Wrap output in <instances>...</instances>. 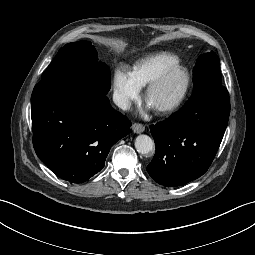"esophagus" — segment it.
<instances>
[{"label":"esophagus","mask_w":255,"mask_h":255,"mask_svg":"<svg viewBox=\"0 0 255 255\" xmlns=\"http://www.w3.org/2000/svg\"><path fill=\"white\" fill-rule=\"evenodd\" d=\"M132 130L134 133H142L145 130V126L140 123L132 124Z\"/></svg>","instance_id":"34e87169"}]
</instances>
